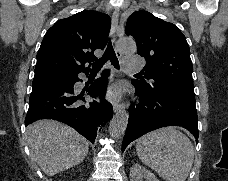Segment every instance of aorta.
<instances>
[{"label": "aorta", "instance_id": "1", "mask_svg": "<svg viewBox=\"0 0 228 181\" xmlns=\"http://www.w3.org/2000/svg\"><path fill=\"white\" fill-rule=\"evenodd\" d=\"M121 53H134L136 51V43L131 38H122L117 45ZM128 112L123 110L118 112L110 122L109 133L113 138H118L124 134L128 124Z\"/></svg>", "mask_w": 228, "mask_h": 181}]
</instances>
